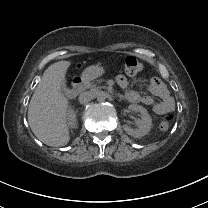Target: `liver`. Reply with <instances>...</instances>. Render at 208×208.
Listing matches in <instances>:
<instances>
[{
  "mask_svg": "<svg viewBox=\"0 0 208 208\" xmlns=\"http://www.w3.org/2000/svg\"><path fill=\"white\" fill-rule=\"evenodd\" d=\"M69 61L50 65L36 87L28 107V123L34 135L48 146H64L69 142L66 125L68 99L62 94Z\"/></svg>",
  "mask_w": 208,
  "mask_h": 208,
  "instance_id": "6515ba94",
  "label": "liver"
}]
</instances>
